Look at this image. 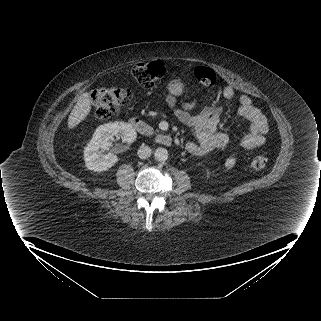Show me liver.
<instances>
[{
	"label": "liver",
	"mask_w": 321,
	"mask_h": 321,
	"mask_svg": "<svg viewBox=\"0 0 321 321\" xmlns=\"http://www.w3.org/2000/svg\"><path fill=\"white\" fill-rule=\"evenodd\" d=\"M91 104L92 101L88 92L79 97L68 118L67 125L69 130L75 128L89 115Z\"/></svg>",
	"instance_id": "1"
}]
</instances>
